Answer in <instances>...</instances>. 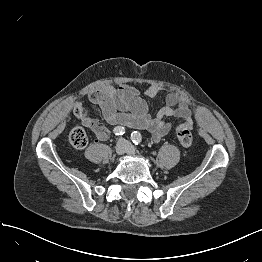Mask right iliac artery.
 Returning a JSON list of instances; mask_svg holds the SVG:
<instances>
[{"instance_id":"right-iliac-artery-1","label":"right iliac artery","mask_w":262,"mask_h":262,"mask_svg":"<svg viewBox=\"0 0 262 262\" xmlns=\"http://www.w3.org/2000/svg\"><path fill=\"white\" fill-rule=\"evenodd\" d=\"M114 133H115V135H123L125 133V129H124V127H120V126L115 127Z\"/></svg>"}]
</instances>
